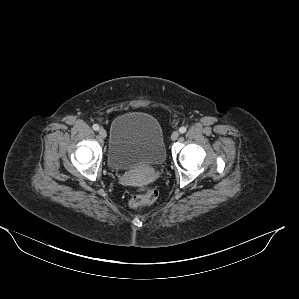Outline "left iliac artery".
<instances>
[{
	"label": "left iliac artery",
	"instance_id": "44dca946",
	"mask_svg": "<svg viewBox=\"0 0 299 299\" xmlns=\"http://www.w3.org/2000/svg\"><path fill=\"white\" fill-rule=\"evenodd\" d=\"M186 130H187V129H186V127H184V126H182V127L179 128V132H180V133H185Z\"/></svg>",
	"mask_w": 299,
	"mask_h": 299
}]
</instances>
